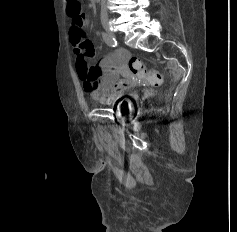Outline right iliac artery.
Instances as JSON below:
<instances>
[{"label":"right iliac artery","instance_id":"1","mask_svg":"<svg viewBox=\"0 0 237 232\" xmlns=\"http://www.w3.org/2000/svg\"><path fill=\"white\" fill-rule=\"evenodd\" d=\"M102 37L105 41V43L111 47H116L117 46V41L114 37H112L111 35L102 32Z\"/></svg>","mask_w":237,"mask_h":232}]
</instances>
